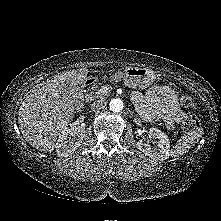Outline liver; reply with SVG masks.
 <instances>
[{
  "mask_svg": "<svg viewBox=\"0 0 221 221\" xmlns=\"http://www.w3.org/2000/svg\"><path fill=\"white\" fill-rule=\"evenodd\" d=\"M86 68L65 71L40 84L20 106L18 123L25 140L37 150L51 153L57 137L73 120L76 113L71 101L63 96L67 83L85 84Z\"/></svg>",
  "mask_w": 221,
  "mask_h": 221,
  "instance_id": "1",
  "label": "liver"
}]
</instances>
